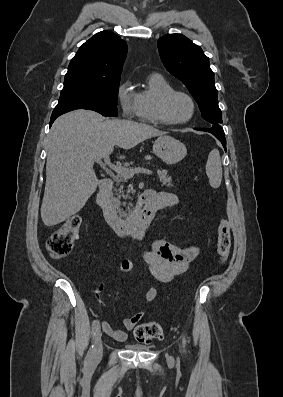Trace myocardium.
I'll return each mask as SVG.
<instances>
[{"instance_id":"myocardium-1","label":"myocardium","mask_w":283,"mask_h":397,"mask_svg":"<svg viewBox=\"0 0 283 397\" xmlns=\"http://www.w3.org/2000/svg\"><path fill=\"white\" fill-rule=\"evenodd\" d=\"M175 96H183L185 97L191 104V113L190 115L182 120H173L168 115V104L170 100ZM196 112V103L192 96L187 92L180 91V90H172L165 93L161 99L159 100L158 107H157V115L162 124L169 125V126H176L182 125L189 122Z\"/></svg>"}]
</instances>
